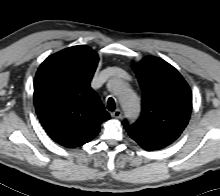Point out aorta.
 I'll return each instance as SVG.
<instances>
[{
	"mask_svg": "<svg viewBox=\"0 0 220 196\" xmlns=\"http://www.w3.org/2000/svg\"><path fill=\"white\" fill-rule=\"evenodd\" d=\"M109 88L118 96L125 116L136 119L140 112L139 100L133 90L121 79H111L108 83Z\"/></svg>",
	"mask_w": 220,
	"mask_h": 196,
	"instance_id": "1",
	"label": "aorta"
}]
</instances>
